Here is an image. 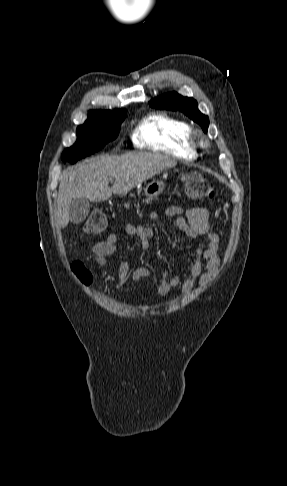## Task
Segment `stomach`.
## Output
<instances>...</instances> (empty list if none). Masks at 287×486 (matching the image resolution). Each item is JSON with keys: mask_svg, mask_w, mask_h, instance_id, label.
I'll return each instance as SVG.
<instances>
[{"mask_svg": "<svg viewBox=\"0 0 287 486\" xmlns=\"http://www.w3.org/2000/svg\"><path fill=\"white\" fill-rule=\"evenodd\" d=\"M165 185L162 181L154 180L144 188V193L148 198H155L163 192Z\"/></svg>", "mask_w": 287, "mask_h": 486, "instance_id": "obj_1", "label": "stomach"}]
</instances>
